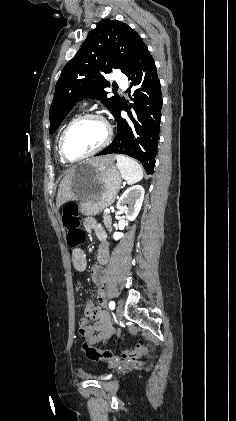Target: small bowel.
Instances as JSON below:
<instances>
[{
  "mask_svg": "<svg viewBox=\"0 0 236 421\" xmlns=\"http://www.w3.org/2000/svg\"><path fill=\"white\" fill-rule=\"evenodd\" d=\"M84 227L88 230H92L94 231V233L98 236L99 239L104 240L105 239V231L103 229V227L100 225V223L92 218V217H88L84 220L83 222ZM78 267L80 268H85L86 265V260H85V256L83 253H80L78 256V259L76 261ZM100 319L103 323V339H96L94 337H88L90 341L92 342H99L102 340H106L108 339L113 333H114V329L111 325V323L109 322L107 316L103 313H100ZM84 322L81 323V325L83 326Z\"/></svg>",
  "mask_w": 236,
  "mask_h": 421,
  "instance_id": "obj_1",
  "label": "small bowel"
}]
</instances>
